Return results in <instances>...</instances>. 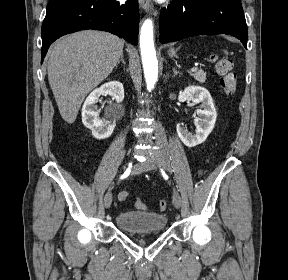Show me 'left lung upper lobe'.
I'll return each instance as SVG.
<instances>
[{"label": "left lung upper lobe", "mask_w": 288, "mask_h": 280, "mask_svg": "<svg viewBox=\"0 0 288 280\" xmlns=\"http://www.w3.org/2000/svg\"><path fill=\"white\" fill-rule=\"evenodd\" d=\"M226 1L231 2V3L235 4L237 7L242 9V5H241L240 0H226Z\"/></svg>", "instance_id": "obj_1"}]
</instances>
